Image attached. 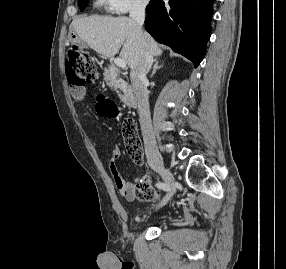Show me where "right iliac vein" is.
Returning a JSON list of instances; mask_svg holds the SVG:
<instances>
[{"instance_id": "obj_1", "label": "right iliac vein", "mask_w": 286, "mask_h": 269, "mask_svg": "<svg viewBox=\"0 0 286 269\" xmlns=\"http://www.w3.org/2000/svg\"><path fill=\"white\" fill-rule=\"evenodd\" d=\"M158 172L162 176V178H163L164 182L166 183V185L169 187V192L167 193V195L165 196V198L163 199V201L159 205L161 207V206H164L165 204H167L169 199L175 193V179H174V176L171 173V171L166 169V168H164V167L159 168Z\"/></svg>"}]
</instances>
